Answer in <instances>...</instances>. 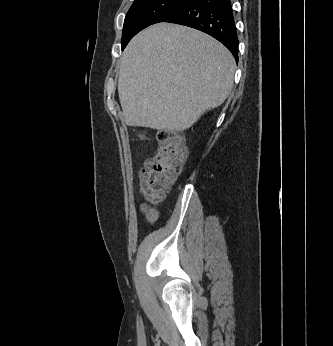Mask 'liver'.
<instances>
[{
  "instance_id": "1",
  "label": "liver",
  "mask_w": 333,
  "mask_h": 346,
  "mask_svg": "<svg viewBox=\"0 0 333 346\" xmlns=\"http://www.w3.org/2000/svg\"><path fill=\"white\" fill-rule=\"evenodd\" d=\"M230 51L213 37L159 23L138 33L121 57L118 94L129 126L184 131L228 97Z\"/></svg>"
}]
</instances>
